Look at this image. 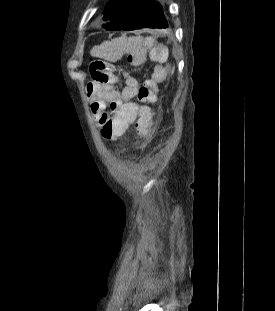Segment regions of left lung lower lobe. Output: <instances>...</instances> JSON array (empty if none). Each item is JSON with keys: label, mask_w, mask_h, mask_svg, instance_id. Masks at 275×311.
I'll list each match as a JSON object with an SVG mask.
<instances>
[{"label": "left lung lower lobe", "mask_w": 275, "mask_h": 311, "mask_svg": "<svg viewBox=\"0 0 275 311\" xmlns=\"http://www.w3.org/2000/svg\"><path fill=\"white\" fill-rule=\"evenodd\" d=\"M167 27L162 6L156 1L146 0L132 21L122 30L132 31L143 28L162 29Z\"/></svg>", "instance_id": "left-lung-lower-lobe-1"}]
</instances>
